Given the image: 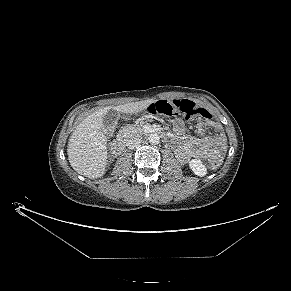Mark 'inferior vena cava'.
<instances>
[{
  "label": "inferior vena cava",
  "mask_w": 291,
  "mask_h": 291,
  "mask_svg": "<svg viewBox=\"0 0 291 291\" xmlns=\"http://www.w3.org/2000/svg\"><path fill=\"white\" fill-rule=\"evenodd\" d=\"M140 144H141V139L137 136L128 139L126 142V146L129 149L137 148Z\"/></svg>",
  "instance_id": "602c4592"
}]
</instances>
